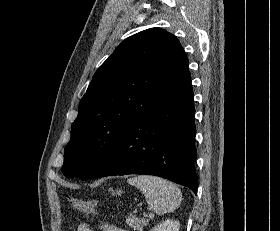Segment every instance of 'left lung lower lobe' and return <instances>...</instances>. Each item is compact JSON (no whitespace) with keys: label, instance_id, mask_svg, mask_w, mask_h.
Listing matches in <instances>:
<instances>
[{"label":"left lung lower lobe","instance_id":"1","mask_svg":"<svg viewBox=\"0 0 280 231\" xmlns=\"http://www.w3.org/2000/svg\"><path fill=\"white\" fill-rule=\"evenodd\" d=\"M194 114L189 76L120 136L90 178L154 175L187 186L196 194Z\"/></svg>","mask_w":280,"mask_h":231}]
</instances>
